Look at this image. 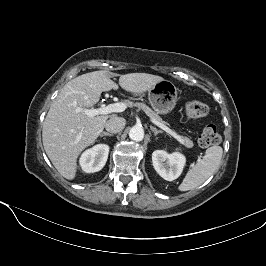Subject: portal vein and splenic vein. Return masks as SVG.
<instances>
[{"label": "portal vein and splenic vein", "mask_w": 266, "mask_h": 266, "mask_svg": "<svg viewBox=\"0 0 266 266\" xmlns=\"http://www.w3.org/2000/svg\"><path fill=\"white\" fill-rule=\"evenodd\" d=\"M127 105L123 102L113 103L109 104L107 106H103L96 109H78V112H84L88 117H94L97 115H107L109 113L113 112H123L126 109ZM151 122L169 133L171 136H173L175 139H177L180 143H184L181 136H179L176 132L165 126L164 124H161L154 119H151Z\"/></svg>", "instance_id": "18ae733b"}]
</instances>
